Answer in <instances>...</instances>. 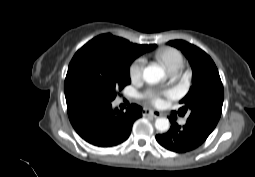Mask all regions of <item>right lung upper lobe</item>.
I'll return each mask as SVG.
<instances>
[{
    "mask_svg": "<svg viewBox=\"0 0 255 177\" xmlns=\"http://www.w3.org/2000/svg\"><path fill=\"white\" fill-rule=\"evenodd\" d=\"M92 42L100 44L105 49H108L113 52L122 53L124 55H129L134 59L140 56L141 54L152 50L156 45H138L130 43L128 40L113 36L111 34H103L95 37L91 40ZM66 98H69L73 95H65Z\"/></svg>",
    "mask_w": 255,
    "mask_h": 177,
    "instance_id": "obj_1",
    "label": "right lung upper lobe"
}]
</instances>
